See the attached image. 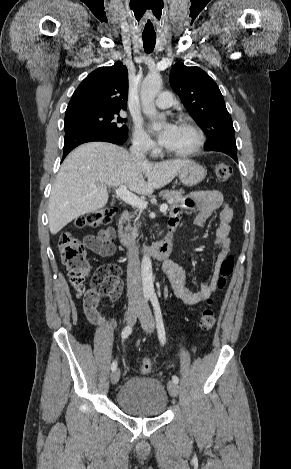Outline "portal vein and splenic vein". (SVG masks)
<instances>
[{
    "mask_svg": "<svg viewBox=\"0 0 291 469\" xmlns=\"http://www.w3.org/2000/svg\"><path fill=\"white\" fill-rule=\"evenodd\" d=\"M116 195L125 203L134 206L136 208H139L140 210L146 209L147 208V202L144 200L140 199L138 196L135 194L131 193L128 191L127 187L125 185L119 186L115 190ZM168 209L167 204H162L160 206V211L165 212Z\"/></svg>",
    "mask_w": 291,
    "mask_h": 469,
    "instance_id": "1",
    "label": "portal vein and splenic vein"
}]
</instances>
